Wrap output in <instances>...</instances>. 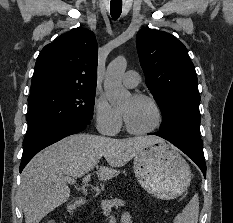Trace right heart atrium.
Returning <instances> with one entry per match:
<instances>
[{
	"instance_id": "obj_1",
	"label": "right heart atrium",
	"mask_w": 233,
	"mask_h": 223,
	"mask_svg": "<svg viewBox=\"0 0 233 223\" xmlns=\"http://www.w3.org/2000/svg\"><path fill=\"white\" fill-rule=\"evenodd\" d=\"M93 112L96 128L103 134H117L122 127L120 113L103 96H95Z\"/></svg>"
}]
</instances>
